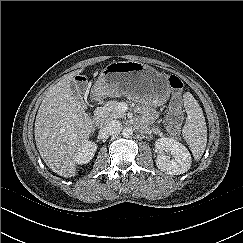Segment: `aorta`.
Listing matches in <instances>:
<instances>
[{
	"mask_svg": "<svg viewBox=\"0 0 243 243\" xmlns=\"http://www.w3.org/2000/svg\"><path fill=\"white\" fill-rule=\"evenodd\" d=\"M122 135L125 137V138H129L133 135V130L129 127H125L122 131Z\"/></svg>",
	"mask_w": 243,
	"mask_h": 243,
	"instance_id": "1",
	"label": "aorta"
}]
</instances>
